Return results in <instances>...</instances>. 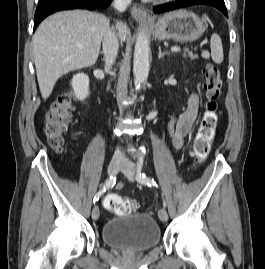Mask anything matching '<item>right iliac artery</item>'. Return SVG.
I'll list each match as a JSON object with an SVG mask.
<instances>
[{
	"label": "right iliac artery",
	"mask_w": 265,
	"mask_h": 269,
	"mask_svg": "<svg viewBox=\"0 0 265 269\" xmlns=\"http://www.w3.org/2000/svg\"><path fill=\"white\" fill-rule=\"evenodd\" d=\"M116 184V176H110L106 181L102 189H100L94 196L93 202L96 203L101 195L108 189L112 188Z\"/></svg>",
	"instance_id": "82829eb1"
}]
</instances>
